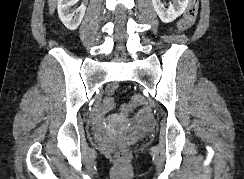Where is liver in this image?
Segmentation results:
<instances>
[{
	"mask_svg": "<svg viewBox=\"0 0 244 179\" xmlns=\"http://www.w3.org/2000/svg\"><path fill=\"white\" fill-rule=\"evenodd\" d=\"M48 6H49V14L52 16L55 12V8L57 6V0H48Z\"/></svg>",
	"mask_w": 244,
	"mask_h": 179,
	"instance_id": "1",
	"label": "liver"
}]
</instances>
